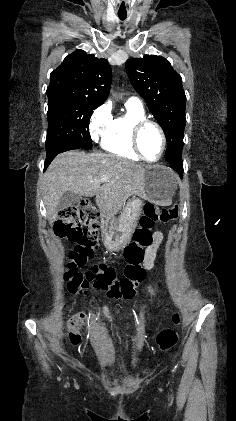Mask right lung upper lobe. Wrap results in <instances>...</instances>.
I'll use <instances>...</instances> for the list:
<instances>
[{"instance_id":"right-lung-upper-lobe-1","label":"right lung upper lobe","mask_w":236,"mask_h":421,"mask_svg":"<svg viewBox=\"0 0 236 421\" xmlns=\"http://www.w3.org/2000/svg\"><path fill=\"white\" fill-rule=\"evenodd\" d=\"M111 81V67L106 59L78 49L51 72L47 96L86 98L102 104L108 97Z\"/></svg>"}]
</instances>
